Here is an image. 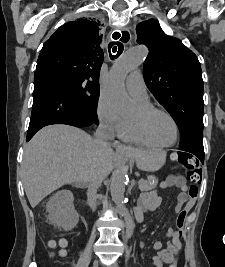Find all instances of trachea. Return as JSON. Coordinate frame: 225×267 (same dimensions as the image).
Here are the masks:
<instances>
[{"label":"trachea","instance_id":"obj_1","mask_svg":"<svg viewBox=\"0 0 225 267\" xmlns=\"http://www.w3.org/2000/svg\"><path fill=\"white\" fill-rule=\"evenodd\" d=\"M115 39H119L120 38V33L119 32H115ZM129 38V34L127 32H124L122 33V37H121V41L122 42H125L127 41ZM123 44L121 42H110L109 45H108V50H109V53H110V58L111 59H116L118 56H120L123 52ZM112 52V53H111Z\"/></svg>","mask_w":225,"mask_h":267}]
</instances>
